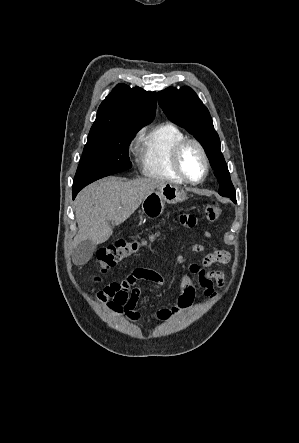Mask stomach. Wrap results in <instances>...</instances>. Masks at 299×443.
<instances>
[{
	"mask_svg": "<svg viewBox=\"0 0 299 443\" xmlns=\"http://www.w3.org/2000/svg\"><path fill=\"white\" fill-rule=\"evenodd\" d=\"M186 199V193L176 185L166 183L156 188L142 202V212L148 218L159 217L165 208V203L177 204Z\"/></svg>",
	"mask_w": 299,
	"mask_h": 443,
	"instance_id": "stomach-1",
	"label": "stomach"
}]
</instances>
